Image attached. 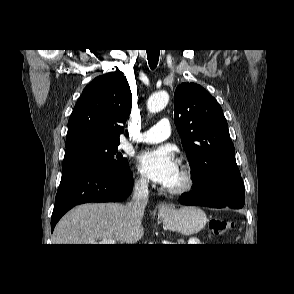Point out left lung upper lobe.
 Instances as JSON below:
<instances>
[{"label":"left lung upper lobe","instance_id":"5c2ea615","mask_svg":"<svg viewBox=\"0 0 294 294\" xmlns=\"http://www.w3.org/2000/svg\"><path fill=\"white\" fill-rule=\"evenodd\" d=\"M174 118L193 176L203 193L217 178L241 177L222 108L196 83L185 82L174 93Z\"/></svg>","mask_w":294,"mask_h":294}]
</instances>
